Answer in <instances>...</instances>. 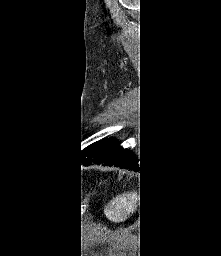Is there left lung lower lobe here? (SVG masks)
I'll return each instance as SVG.
<instances>
[{
  "instance_id": "1",
  "label": "left lung lower lobe",
  "mask_w": 221,
  "mask_h": 256,
  "mask_svg": "<svg viewBox=\"0 0 221 256\" xmlns=\"http://www.w3.org/2000/svg\"><path fill=\"white\" fill-rule=\"evenodd\" d=\"M76 160L83 161L84 165L91 162L104 164L106 166H118L120 168L132 169L143 174V163L138 161L136 152L131 148H124L116 139L101 140L86 145L83 149L78 150L75 155Z\"/></svg>"
}]
</instances>
